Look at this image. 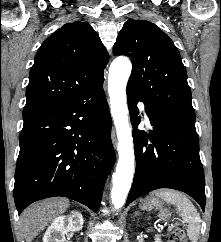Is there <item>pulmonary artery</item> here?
<instances>
[{"label": "pulmonary artery", "instance_id": "e3ab8cb5", "mask_svg": "<svg viewBox=\"0 0 221 242\" xmlns=\"http://www.w3.org/2000/svg\"><path fill=\"white\" fill-rule=\"evenodd\" d=\"M140 109H141V111L144 113V117H145V119H146V122H148L149 120H148V117H147V115H146V113H145V107H144L143 104H140Z\"/></svg>", "mask_w": 221, "mask_h": 242}]
</instances>
